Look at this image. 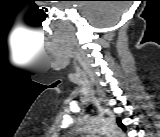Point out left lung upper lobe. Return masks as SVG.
I'll use <instances>...</instances> for the list:
<instances>
[{"label": "left lung upper lobe", "instance_id": "left-lung-upper-lobe-1", "mask_svg": "<svg viewBox=\"0 0 160 137\" xmlns=\"http://www.w3.org/2000/svg\"><path fill=\"white\" fill-rule=\"evenodd\" d=\"M118 125H119L121 128L125 129V127H124V125L121 123V120H120V119H118Z\"/></svg>", "mask_w": 160, "mask_h": 137}]
</instances>
